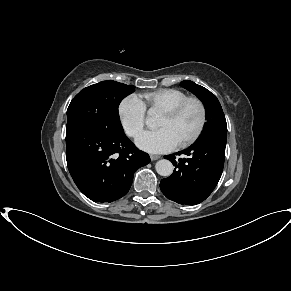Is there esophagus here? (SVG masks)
Listing matches in <instances>:
<instances>
[{
  "instance_id": "obj_1",
  "label": "esophagus",
  "mask_w": 291,
  "mask_h": 291,
  "mask_svg": "<svg viewBox=\"0 0 291 291\" xmlns=\"http://www.w3.org/2000/svg\"><path fill=\"white\" fill-rule=\"evenodd\" d=\"M150 158H151L152 161H155V160L159 159L160 156H159V155L151 154V155H150Z\"/></svg>"
}]
</instances>
